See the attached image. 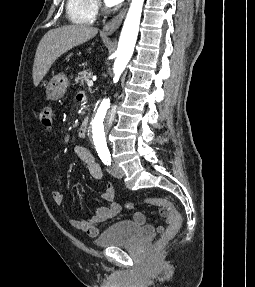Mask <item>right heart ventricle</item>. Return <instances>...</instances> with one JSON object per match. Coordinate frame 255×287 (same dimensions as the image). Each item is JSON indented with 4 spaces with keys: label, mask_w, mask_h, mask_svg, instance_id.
Returning a JSON list of instances; mask_svg holds the SVG:
<instances>
[{
    "label": "right heart ventricle",
    "mask_w": 255,
    "mask_h": 287,
    "mask_svg": "<svg viewBox=\"0 0 255 287\" xmlns=\"http://www.w3.org/2000/svg\"><path fill=\"white\" fill-rule=\"evenodd\" d=\"M81 33H102V32H81ZM85 39H110V38H85ZM98 48H110V47H98Z\"/></svg>",
    "instance_id": "right-heart-ventricle-1"
}]
</instances>
